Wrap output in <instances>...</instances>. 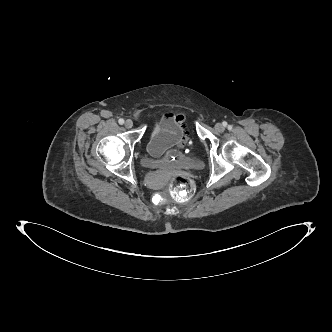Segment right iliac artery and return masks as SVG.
<instances>
[{
    "label": "right iliac artery",
    "mask_w": 332,
    "mask_h": 332,
    "mask_svg": "<svg viewBox=\"0 0 332 332\" xmlns=\"http://www.w3.org/2000/svg\"><path fill=\"white\" fill-rule=\"evenodd\" d=\"M118 122H119V124L122 125V124H124V119H119Z\"/></svg>",
    "instance_id": "82829eb1"
}]
</instances>
